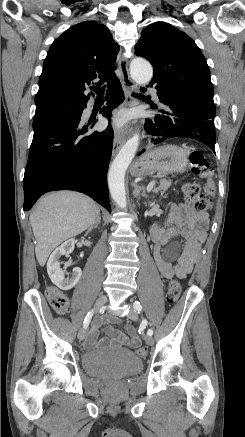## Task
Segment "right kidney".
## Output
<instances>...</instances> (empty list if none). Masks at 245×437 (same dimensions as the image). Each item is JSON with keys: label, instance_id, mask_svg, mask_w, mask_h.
<instances>
[{"label": "right kidney", "instance_id": "right-kidney-1", "mask_svg": "<svg viewBox=\"0 0 245 437\" xmlns=\"http://www.w3.org/2000/svg\"><path fill=\"white\" fill-rule=\"evenodd\" d=\"M75 243L76 240L73 238L65 241L54 250L47 262V272L51 281L64 291L72 289L78 283L82 275V270L79 267H75L72 270L71 276L65 278L64 271L60 267L59 258L62 255L70 254L74 250ZM86 243L90 245L89 241H86Z\"/></svg>", "mask_w": 245, "mask_h": 437}]
</instances>
